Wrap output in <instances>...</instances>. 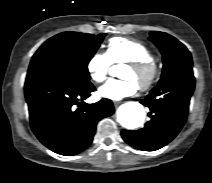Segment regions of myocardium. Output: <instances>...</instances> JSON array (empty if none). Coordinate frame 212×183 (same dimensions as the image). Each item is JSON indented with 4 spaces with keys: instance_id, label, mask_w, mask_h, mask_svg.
<instances>
[{
    "instance_id": "myocardium-1",
    "label": "myocardium",
    "mask_w": 212,
    "mask_h": 183,
    "mask_svg": "<svg viewBox=\"0 0 212 183\" xmlns=\"http://www.w3.org/2000/svg\"><path fill=\"white\" fill-rule=\"evenodd\" d=\"M126 65L144 76V80L138 85L140 90L149 89L155 83L159 74L156 62L151 59L131 61Z\"/></svg>"
}]
</instances>
